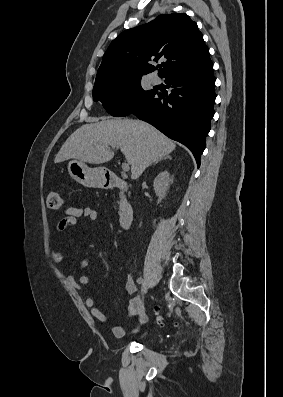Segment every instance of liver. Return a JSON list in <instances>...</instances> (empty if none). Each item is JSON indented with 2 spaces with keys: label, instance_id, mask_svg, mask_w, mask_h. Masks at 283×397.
Returning a JSON list of instances; mask_svg holds the SVG:
<instances>
[{
  "label": "liver",
  "instance_id": "6515ba94",
  "mask_svg": "<svg viewBox=\"0 0 283 397\" xmlns=\"http://www.w3.org/2000/svg\"><path fill=\"white\" fill-rule=\"evenodd\" d=\"M109 147L120 148L131 166V178L136 180L150 164L175 150L176 145L150 124L111 119L78 128L62 145L54 162L76 159L103 164L114 157Z\"/></svg>",
  "mask_w": 283,
  "mask_h": 397
}]
</instances>
